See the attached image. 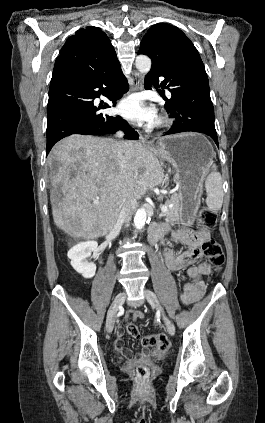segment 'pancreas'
I'll return each instance as SVG.
<instances>
[{
    "mask_svg": "<svg viewBox=\"0 0 265 423\" xmlns=\"http://www.w3.org/2000/svg\"><path fill=\"white\" fill-rule=\"evenodd\" d=\"M165 205L168 207V210L165 212V216L171 220V222L176 223L179 221V205L180 199L177 193H172L170 198H167ZM172 205V207H170Z\"/></svg>",
    "mask_w": 265,
    "mask_h": 423,
    "instance_id": "1",
    "label": "pancreas"
}]
</instances>
